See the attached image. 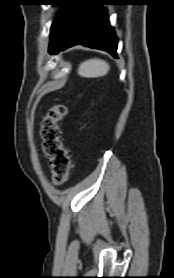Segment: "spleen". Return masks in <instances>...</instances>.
Wrapping results in <instances>:
<instances>
[{"label": "spleen", "instance_id": "3e777b00", "mask_svg": "<svg viewBox=\"0 0 174 278\" xmlns=\"http://www.w3.org/2000/svg\"><path fill=\"white\" fill-rule=\"evenodd\" d=\"M109 69L106 61L95 58L82 62L79 65L78 74L86 78H95L106 75Z\"/></svg>", "mask_w": 174, "mask_h": 278}]
</instances>
